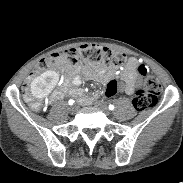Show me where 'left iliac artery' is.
<instances>
[{"label": "left iliac artery", "instance_id": "obj_1", "mask_svg": "<svg viewBox=\"0 0 183 183\" xmlns=\"http://www.w3.org/2000/svg\"><path fill=\"white\" fill-rule=\"evenodd\" d=\"M108 108H109V110H114L115 107H114V105L110 104Z\"/></svg>", "mask_w": 183, "mask_h": 183}]
</instances>
